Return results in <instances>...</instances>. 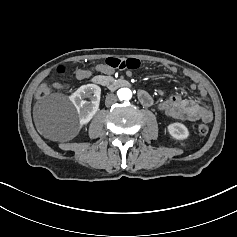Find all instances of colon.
Listing matches in <instances>:
<instances>
[{"label": "colon", "instance_id": "obj_1", "mask_svg": "<svg viewBox=\"0 0 237 237\" xmlns=\"http://www.w3.org/2000/svg\"><path fill=\"white\" fill-rule=\"evenodd\" d=\"M109 67L118 70H138L141 67V62L135 58H128V59H119V58H108L105 61ZM51 92V88L47 84H42L38 91L37 97L44 98ZM209 131V128L206 124H200L198 126V132L201 135H206Z\"/></svg>", "mask_w": 237, "mask_h": 237}]
</instances>
